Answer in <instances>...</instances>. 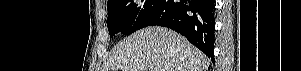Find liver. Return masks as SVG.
Segmentation results:
<instances>
[{
    "label": "liver",
    "mask_w": 301,
    "mask_h": 71,
    "mask_svg": "<svg viewBox=\"0 0 301 71\" xmlns=\"http://www.w3.org/2000/svg\"><path fill=\"white\" fill-rule=\"evenodd\" d=\"M208 57L173 30L151 26L120 41L101 71H207Z\"/></svg>",
    "instance_id": "liver-1"
}]
</instances>
